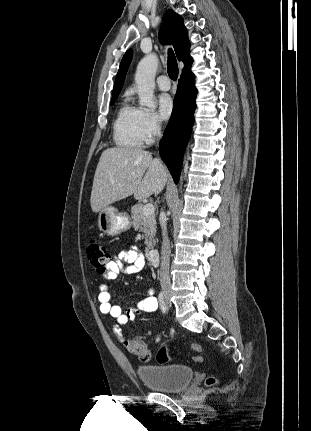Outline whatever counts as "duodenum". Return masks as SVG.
Wrapping results in <instances>:
<instances>
[{
  "label": "duodenum",
  "mask_w": 311,
  "mask_h": 431,
  "mask_svg": "<svg viewBox=\"0 0 311 431\" xmlns=\"http://www.w3.org/2000/svg\"><path fill=\"white\" fill-rule=\"evenodd\" d=\"M149 262L156 266L159 262V252L156 249H149L146 253Z\"/></svg>",
  "instance_id": "1"
}]
</instances>
